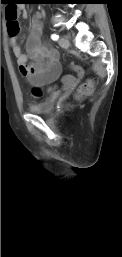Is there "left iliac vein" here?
I'll use <instances>...</instances> for the list:
<instances>
[{
    "mask_svg": "<svg viewBox=\"0 0 122 257\" xmlns=\"http://www.w3.org/2000/svg\"><path fill=\"white\" fill-rule=\"evenodd\" d=\"M59 45L62 47V48H68L70 46V43L67 39L66 36H62L59 41H58Z\"/></svg>",
    "mask_w": 122,
    "mask_h": 257,
    "instance_id": "obj_1",
    "label": "left iliac vein"
}]
</instances>
